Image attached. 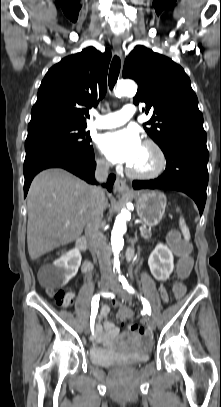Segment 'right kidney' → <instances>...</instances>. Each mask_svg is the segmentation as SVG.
Instances as JSON below:
<instances>
[{
    "mask_svg": "<svg viewBox=\"0 0 221 407\" xmlns=\"http://www.w3.org/2000/svg\"><path fill=\"white\" fill-rule=\"evenodd\" d=\"M81 260V253L77 248L55 260L53 263L55 283L58 286H65L77 274Z\"/></svg>",
    "mask_w": 221,
    "mask_h": 407,
    "instance_id": "obj_1",
    "label": "right kidney"
}]
</instances>
